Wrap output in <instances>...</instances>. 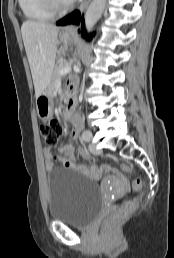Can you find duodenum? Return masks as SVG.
Instances as JSON below:
<instances>
[{"instance_id":"1","label":"duodenum","mask_w":174,"mask_h":258,"mask_svg":"<svg viewBox=\"0 0 174 258\" xmlns=\"http://www.w3.org/2000/svg\"><path fill=\"white\" fill-rule=\"evenodd\" d=\"M74 108H75V99L71 97L70 99H68L63 109V115L66 119L73 118Z\"/></svg>"}]
</instances>
